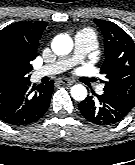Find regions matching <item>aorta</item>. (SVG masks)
Returning a JSON list of instances; mask_svg holds the SVG:
<instances>
[{
    "instance_id": "762f6f07",
    "label": "aorta",
    "mask_w": 135,
    "mask_h": 165,
    "mask_svg": "<svg viewBox=\"0 0 135 165\" xmlns=\"http://www.w3.org/2000/svg\"><path fill=\"white\" fill-rule=\"evenodd\" d=\"M73 42L70 37L62 35L55 38L52 43V50L57 55H66L71 52ZM71 96L77 101H82L87 97V89L82 84H76L71 87Z\"/></svg>"
}]
</instances>
